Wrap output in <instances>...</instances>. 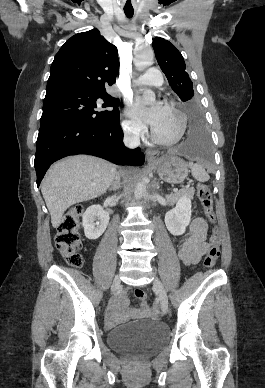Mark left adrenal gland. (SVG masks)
Listing matches in <instances>:
<instances>
[{
	"label": "left adrenal gland",
	"mask_w": 265,
	"mask_h": 388,
	"mask_svg": "<svg viewBox=\"0 0 265 388\" xmlns=\"http://www.w3.org/2000/svg\"><path fill=\"white\" fill-rule=\"evenodd\" d=\"M158 184H159V182H157V188H159Z\"/></svg>",
	"instance_id": "1"
}]
</instances>
